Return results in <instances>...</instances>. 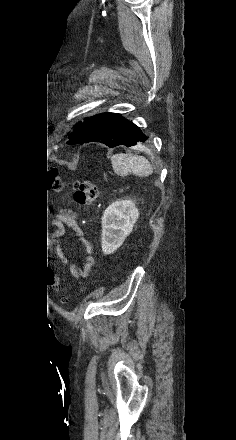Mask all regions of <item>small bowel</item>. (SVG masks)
<instances>
[{"mask_svg":"<svg viewBox=\"0 0 236 440\" xmlns=\"http://www.w3.org/2000/svg\"><path fill=\"white\" fill-rule=\"evenodd\" d=\"M53 225L56 227L57 235H60L62 233V228L64 225L73 230L74 235L78 238L80 244L83 247L84 261L82 265L72 264L70 266V273L75 279L87 277L94 266V260L92 257V246L83 237V232L79 226L76 214H74L73 212H65L59 215L53 221ZM63 261L65 262V259H63Z\"/></svg>","mask_w":236,"mask_h":440,"instance_id":"c3829d8e","label":"small bowel"}]
</instances>
